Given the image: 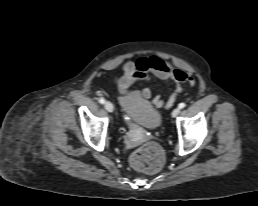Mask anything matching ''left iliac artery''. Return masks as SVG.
Wrapping results in <instances>:
<instances>
[{
    "instance_id": "left-iliac-artery-1",
    "label": "left iliac artery",
    "mask_w": 258,
    "mask_h": 206,
    "mask_svg": "<svg viewBox=\"0 0 258 206\" xmlns=\"http://www.w3.org/2000/svg\"><path fill=\"white\" fill-rule=\"evenodd\" d=\"M185 106H186V104L183 103V102L178 105V107H179L180 109L184 108Z\"/></svg>"
}]
</instances>
